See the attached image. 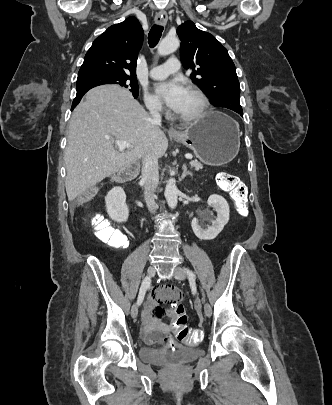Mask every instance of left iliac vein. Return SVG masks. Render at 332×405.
Segmentation results:
<instances>
[{"mask_svg":"<svg viewBox=\"0 0 332 405\" xmlns=\"http://www.w3.org/2000/svg\"><path fill=\"white\" fill-rule=\"evenodd\" d=\"M173 277H174L175 279H177V280L183 281V280L186 279V273H185V271H184L182 268L176 267V268L173 270ZM204 314H205L207 317H210L211 314H212V308H211V306L209 305V303H207V302H204Z\"/></svg>","mask_w":332,"mask_h":405,"instance_id":"left-iliac-vein-1","label":"left iliac vein"}]
</instances>
